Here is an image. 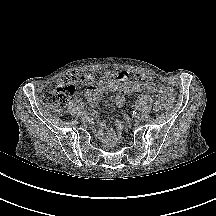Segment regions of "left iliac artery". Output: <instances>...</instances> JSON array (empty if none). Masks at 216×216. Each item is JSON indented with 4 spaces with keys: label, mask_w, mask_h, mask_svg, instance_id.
<instances>
[{
    "label": "left iliac artery",
    "mask_w": 216,
    "mask_h": 216,
    "mask_svg": "<svg viewBox=\"0 0 216 216\" xmlns=\"http://www.w3.org/2000/svg\"><path fill=\"white\" fill-rule=\"evenodd\" d=\"M132 115H133V116H136V115H137V111H136L135 109L132 111Z\"/></svg>",
    "instance_id": "obj_1"
}]
</instances>
